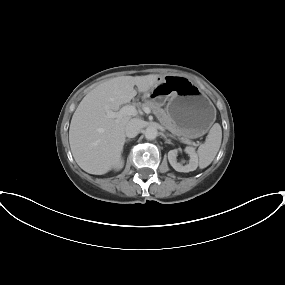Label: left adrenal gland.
I'll use <instances>...</instances> for the list:
<instances>
[{"label":"left adrenal gland","mask_w":285,"mask_h":285,"mask_svg":"<svg viewBox=\"0 0 285 285\" xmlns=\"http://www.w3.org/2000/svg\"><path fill=\"white\" fill-rule=\"evenodd\" d=\"M168 136H170V137H172V138H175L173 135H171V134H167Z\"/></svg>","instance_id":"left-adrenal-gland-1"}]
</instances>
